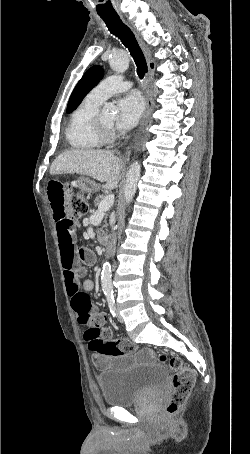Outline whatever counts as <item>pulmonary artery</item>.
I'll return each instance as SVG.
<instances>
[{"label": "pulmonary artery", "instance_id": "obj_1", "mask_svg": "<svg viewBox=\"0 0 250 454\" xmlns=\"http://www.w3.org/2000/svg\"><path fill=\"white\" fill-rule=\"evenodd\" d=\"M132 86V81L124 80L120 75H113L102 80L88 96L91 99L102 103L111 95L128 90Z\"/></svg>", "mask_w": 250, "mask_h": 454}]
</instances>
